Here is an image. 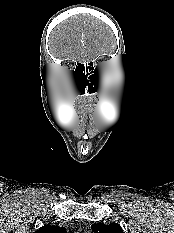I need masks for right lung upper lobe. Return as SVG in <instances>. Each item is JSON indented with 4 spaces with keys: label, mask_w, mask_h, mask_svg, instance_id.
<instances>
[{
    "label": "right lung upper lobe",
    "mask_w": 174,
    "mask_h": 233,
    "mask_svg": "<svg viewBox=\"0 0 174 233\" xmlns=\"http://www.w3.org/2000/svg\"><path fill=\"white\" fill-rule=\"evenodd\" d=\"M34 233H66V229L65 227L44 225L43 227L39 228Z\"/></svg>",
    "instance_id": "right-lung-upper-lobe-1"
}]
</instances>
